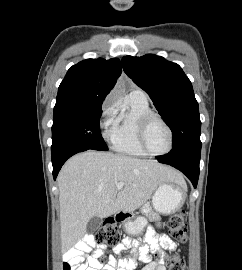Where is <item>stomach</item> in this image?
I'll return each mask as SVG.
<instances>
[{
    "mask_svg": "<svg viewBox=\"0 0 242 270\" xmlns=\"http://www.w3.org/2000/svg\"><path fill=\"white\" fill-rule=\"evenodd\" d=\"M186 185H180L174 182L161 184L152 197V205L155 211L170 215L179 210L185 200ZM147 221L139 216L136 219L127 218L124 222L125 230L130 235H139L142 233Z\"/></svg>",
    "mask_w": 242,
    "mask_h": 270,
    "instance_id": "obj_1",
    "label": "stomach"
}]
</instances>
